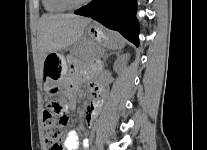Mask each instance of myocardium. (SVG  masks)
<instances>
[{"label":"myocardium","instance_id":"obj_1","mask_svg":"<svg viewBox=\"0 0 207 150\" xmlns=\"http://www.w3.org/2000/svg\"><path fill=\"white\" fill-rule=\"evenodd\" d=\"M91 0H82L75 2L73 0H60V2L69 9H76L88 4Z\"/></svg>","mask_w":207,"mask_h":150}]
</instances>
